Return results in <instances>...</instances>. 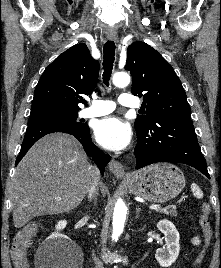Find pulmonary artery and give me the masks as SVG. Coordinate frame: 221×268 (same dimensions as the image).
Masks as SVG:
<instances>
[{"label": "pulmonary artery", "mask_w": 221, "mask_h": 268, "mask_svg": "<svg viewBox=\"0 0 221 268\" xmlns=\"http://www.w3.org/2000/svg\"><path fill=\"white\" fill-rule=\"evenodd\" d=\"M118 101L126 107H136L138 101L130 94L123 93ZM115 109V103L110 100H94L90 107L82 110L80 116L83 118L99 117L111 113Z\"/></svg>", "instance_id": "1"}]
</instances>
